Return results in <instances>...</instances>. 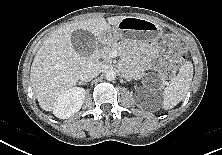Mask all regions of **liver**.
Returning <instances> with one entry per match:
<instances>
[{
    "label": "liver",
    "instance_id": "1",
    "mask_svg": "<svg viewBox=\"0 0 222 155\" xmlns=\"http://www.w3.org/2000/svg\"><path fill=\"white\" fill-rule=\"evenodd\" d=\"M125 17H99L73 22L54 31L44 41L30 71V81L42 109L53 110L58 97L76 85L82 69L90 63L74 49L71 34L76 30H86L99 37L111 28L110 25H118Z\"/></svg>",
    "mask_w": 222,
    "mask_h": 155
}]
</instances>
